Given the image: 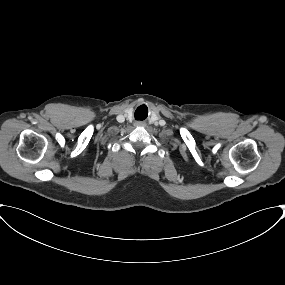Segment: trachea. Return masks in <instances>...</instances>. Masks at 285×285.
<instances>
[{"label": "trachea", "mask_w": 285, "mask_h": 285, "mask_svg": "<svg viewBox=\"0 0 285 285\" xmlns=\"http://www.w3.org/2000/svg\"><path fill=\"white\" fill-rule=\"evenodd\" d=\"M146 107V106H145ZM143 105L138 107L137 110L135 111V118L137 120H143L147 117V113L141 111L143 109ZM147 108V107H146Z\"/></svg>", "instance_id": "1"}]
</instances>
